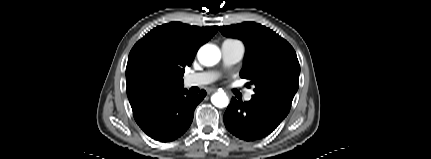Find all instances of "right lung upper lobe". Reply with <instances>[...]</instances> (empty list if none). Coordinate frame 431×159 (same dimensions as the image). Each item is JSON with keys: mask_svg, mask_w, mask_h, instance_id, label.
<instances>
[{"mask_svg": "<svg viewBox=\"0 0 431 159\" xmlns=\"http://www.w3.org/2000/svg\"><path fill=\"white\" fill-rule=\"evenodd\" d=\"M218 26L171 22L148 32L132 48L126 67L127 96L133 113L150 101L183 88L184 68Z\"/></svg>", "mask_w": 431, "mask_h": 159, "instance_id": "cb5924a9", "label": "right lung upper lobe"}]
</instances>
